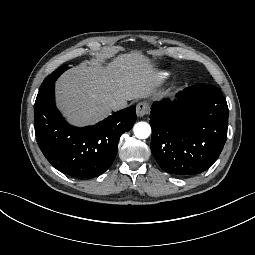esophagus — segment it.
Listing matches in <instances>:
<instances>
[{
  "mask_svg": "<svg viewBox=\"0 0 255 255\" xmlns=\"http://www.w3.org/2000/svg\"><path fill=\"white\" fill-rule=\"evenodd\" d=\"M150 112V104L147 101H141L137 104L136 113L138 117H143Z\"/></svg>",
  "mask_w": 255,
  "mask_h": 255,
  "instance_id": "34e87169",
  "label": "esophagus"
}]
</instances>
